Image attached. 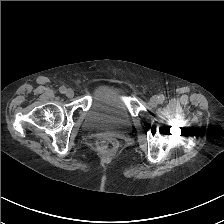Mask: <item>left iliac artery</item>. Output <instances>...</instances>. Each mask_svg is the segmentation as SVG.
Returning <instances> with one entry per match:
<instances>
[{
	"label": "left iliac artery",
	"mask_w": 224,
	"mask_h": 224,
	"mask_svg": "<svg viewBox=\"0 0 224 224\" xmlns=\"http://www.w3.org/2000/svg\"><path fill=\"white\" fill-rule=\"evenodd\" d=\"M164 100H165L164 95H159V101H160V102H163Z\"/></svg>",
	"instance_id": "left-iliac-artery-1"
}]
</instances>
